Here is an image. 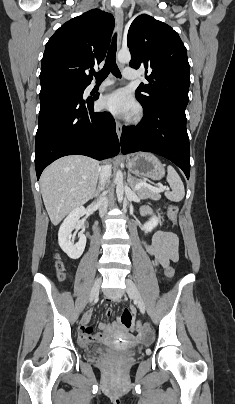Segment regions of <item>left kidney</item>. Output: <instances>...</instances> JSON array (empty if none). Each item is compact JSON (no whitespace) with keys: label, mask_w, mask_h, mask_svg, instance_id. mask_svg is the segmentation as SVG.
Returning a JSON list of instances; mask_svg holds the SVG:
<instances>
[{"label":"left kidney","mask_w":235,"mask_h":404,"mask_svg":"<svg viewBox=\"0 0 235 404\" xmlns=\"http://www.w3.org/2000/svg\"><path fill=\"white\" fill-rule=\"evenodd\" d=\"M160 223V217H153L143 225L146 233L151 232Z\"/></svg>","instance_id":"1"}]
</instances>
